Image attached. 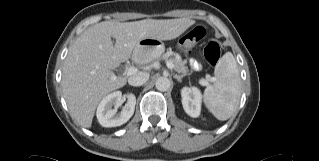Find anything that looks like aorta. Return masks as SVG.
<instances>
[{
  "label": "aorta",
  "instance_id": "obj_1",
  "mask_svg": "<svg viewBox=\"0 0 319 161\" xmlns=\"http://www.w3.org/2000/svg\"><path fill=\"white\" fill-rule=\"evenodd\" d=\"M155 85H156L157 90H159L161 92H165L170 88L171 82L167 77H159L156 80Z\"/></svg>",
  "mask_w": 319,
  "mask_h": 161
}]
</instances>
